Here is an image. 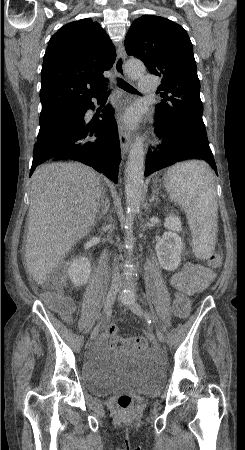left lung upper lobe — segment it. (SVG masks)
Here are the masks:
<instances>
[{
	"label": "left lung upper lobe",
	"instance_id": "1",
	"mask_svg": "<svg viewBox=\"0 0 245 450\" xmlns=\"http://www.w3.org/2000/svg\"><path fill=\"white\" fill-rule=\"evenodd\" d=\"M125 49L141 59L151 74L162 77L163 99L156 115L172 131L208 140L193 47L183 27L160 16L144 15L132 23Z\"/></svg>",
	"mask_w": 245,
	"mask_h": 450
}]
</instances>
